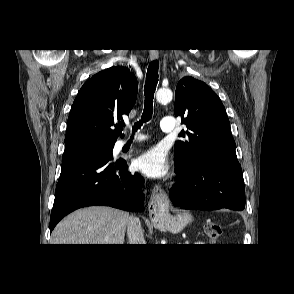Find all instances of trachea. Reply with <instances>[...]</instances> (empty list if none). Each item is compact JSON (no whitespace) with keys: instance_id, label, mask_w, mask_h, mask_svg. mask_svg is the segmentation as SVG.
<instances>
[{"instance_id":"3493384b","label":"trachea","mask_w":294,"mask_h":294,"mask_svg":"<svg viewBox=\"0 0 294 294\" xmlns=\"http://www.w3.org/2000/svg\"><path fill=\"white\" fill-rule=\"evenodd\" d=\"M158 68L159 63L158 61H152L149 64L147 75H146V81H145V108L144 113L142 116V121L135 124V127L133 128V132H135L137 129H139L143 122L149 121L152 117L153 113V98L155 89L158 83Z\"/></svg>"}]
</instances>
